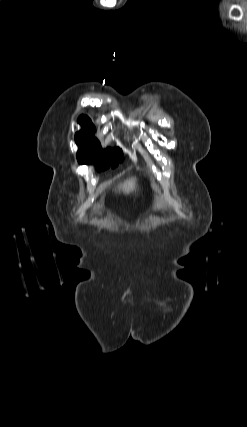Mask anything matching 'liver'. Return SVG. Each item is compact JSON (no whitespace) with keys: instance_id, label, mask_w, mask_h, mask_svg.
<instances>
[{"instance_id":"obj_1","label":"liver","mask_w":247,"mask_h":427,"mask_svg":"<svg viewBox=\"0 0 247 427\" xmlns=\"http://www.w3.org/2000/svg\"><path fill=\"white\" fill-rule=\"evenodd\" d=\"M136 187H137V179L136 177H131L121 182L117 186V189L119 192L122 191L124 194H130L131 192L136 191Z\"/></svg>"}]
</instances>
